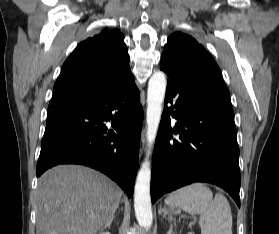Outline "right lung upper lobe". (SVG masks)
<instances>
[{
	"mask_svg": "<svg viewBox=\"0 0 279 234\" xmlns=\"http://www.w3.org/2000/svg\"><path fill=\"white\" fill-rule=\"evenodd\" d=\"M124 36L104 29L78 44L54 85L49 108L88 99L132 76Z\"/></svg>",
	"mask_w": 279,
	"mask_h": 234,
	"instance_id": "cb5924a9",
	"label": "right lung upper lobe"
}]
</instances>
